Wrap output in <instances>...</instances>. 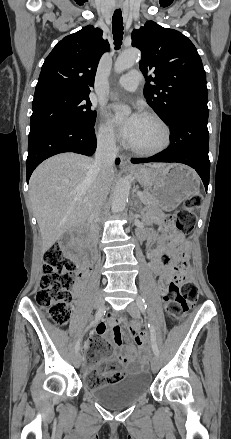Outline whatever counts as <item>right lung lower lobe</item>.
<instances>
[{
  "label": "right lung lower lobe",
  "instance_id": "right-lung-lower-lobe-1",
  "mask_svg": "<svg viewBox=\"0 0 231 439\" xmlns=\"http://www.w3.org/2000/svg\"><path fill=\"white\" fill-rule=\"evenodd\" d=\"M96 144L94 125L75 121H59L30 131L26 161L27 181L43 160L63 152L91 156L96 150ZM119 162L116 159V163Z\"/></svg>",
  "mask_w": 231,
  "mask_h": 439
}]
</instances>
